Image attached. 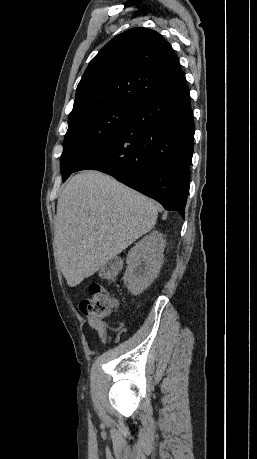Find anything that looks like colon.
Returning a JSON list of instances; mask_svg holds the SVG:
<instances>
[{
	"mask_svg": "<svg viewBox=\"0 0 257 459\" xmlns=\"http://www.w3.org/2000/svg\"><path fill=\"white\" fill-rule=\"evenodd\" d=\"M121 270L118 260H110L101 269V276L107 280L115 279ZM115 305V299L100 284L94 283L89 287V296L80 302V311L97 320L105 319Z\"/></svg>",
	"mask_w": 257,
	"mask_h": 459,
	"instance_id": "1",
	"label": "colon"
}]
</instances>
